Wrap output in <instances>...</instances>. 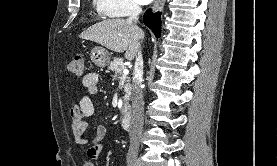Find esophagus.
<instances>
[{"mask_svg": "<svg viewBox=\"0 0 277 166\" xmlns=\"http://www.w3.org/2000/svg\"><path fill=\"white\" fill-rule=\"evenodd\" d=\"M164 2H165V0H156L153 5V9L154 10L160 9L164 5Z\"/></svg>", "mask_w": 277, "mask_h": 166, "instance_id": "esophagus-1", "label": "esophagus"}]
</instances>
